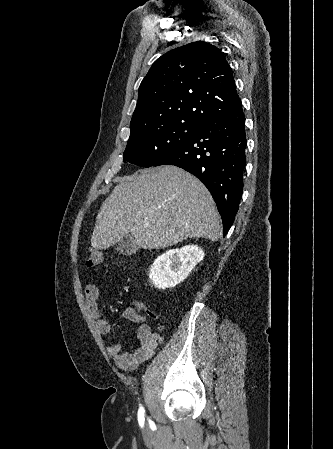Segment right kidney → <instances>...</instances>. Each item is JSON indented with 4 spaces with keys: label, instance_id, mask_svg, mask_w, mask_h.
<instances>
[{
    "label": "right kidney",
    "instance_id": "ca27d5eb",
    "mask_svg": "<svg viewBox=\"0 0 333 449\" xmlns=\"http://www.w3.org/2000/svg\"><path fill=\"white\" fill-rule=\"evenodd\" d=\"M204 255L197 245L168 250L154 261L149 278L158 289L173 288L187 278Z\"/></svg>",
    "mask_w": 333,
    "mask_h": 449
}]
</instances>
